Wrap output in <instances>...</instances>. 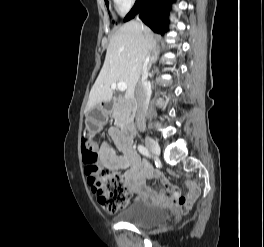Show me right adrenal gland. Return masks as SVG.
Masks as SVG:
<instances>
[{
    "label": "right adrenal gland",
    "mask_w": 264,
    "mask_h": 247,
    "mask_svg": "<svg viewBox=\"0 0 264 247\" xmlns=\"http://www.w3.org/2000/svg\"><path fill=\"white\" fill-rule=\"evenodd\" d=\"M159 54L157 52H153L150 58L149 67L152 66L153 63H155L158 60Z\"/></svg>",
    "instance_id": "2a0ac1e0"
}]
</instances>
